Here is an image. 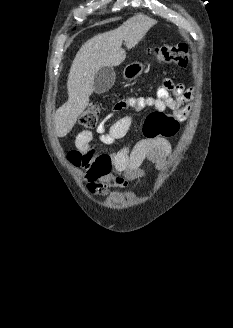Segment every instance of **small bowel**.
<instances>
[{
  "mask_svg": "<svg viewBox=\"0 0 233 328\" xmlns=\"http://www.w3.org/2000/svg\"><path fill=\"white\" fill-rule=\"evenodd\" d=\"M193 95V89H186L182 84H176L171 79H165L158 88L156 96L125 97L114 105L113 111L117 113L129 108L141 111L146 107H153L158 111L171 110L172 115L177 119L184 120L191 108L190 101ZM131 123L132 118L129 115L118 119L108 129H106V121H104L97 129V136L104 144H112L127 134ZM93 138V132L89 130L82 131L77 136L76 145L79 148H84ZM171 150V144L165 138L142 139L132 145L123 147L111 155L113 172L105 176L101 183L91 187L90 191L105 196L108 194L110 187H125L129 181L142 179L144 177V172L141 169L142 163L149 160L156 165L157 169H161Z\"/></svg>",
  "mask_w": 233,
  "mask_h": 328,
  "instance_id": "obj_1",
  "label": "small bowel"
}]
</instances>
